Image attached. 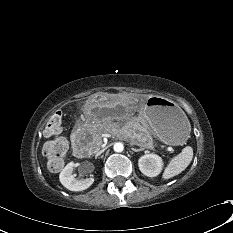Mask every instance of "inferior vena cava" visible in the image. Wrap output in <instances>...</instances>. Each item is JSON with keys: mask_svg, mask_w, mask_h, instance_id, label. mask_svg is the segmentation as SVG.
<instances>
[{"mask_svg": "<svg viewBox=\"0 0 233 233\" xmlns=\"http://www.w3.org/2000/svg\"><path fill=\"white\" fill-rule=\"evenodd\" d=\"M103 152H104V149L98 151V152L96 153V156H99V155H100L101 153H103Z\"/></svg>", "mask_w": 233, "mask_h": 233, "instance_id": "obj_1", "label": "inferior vena cava"}]
</instances>
